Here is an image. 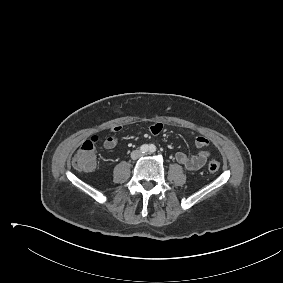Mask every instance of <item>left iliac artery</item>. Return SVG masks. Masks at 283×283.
Masks as SVG:
<instances>
[{
  "instance_id": "obj_1",
  "label": "left iliac artery",
  "mask_w": 283,
  "mask_h": 283,
  "mask_svg": "<svg viewBox=\"0 0 283 283\" xmlns=\"http://www.w3.org/2000/svg\"><path fill=\"white\" fill-rule=\"evenodd\" d=\"M155 151H156V146L153 145V144H151V145L149 146V152L153 153V152H155Z\"/></svg>"
}]
</instances>
